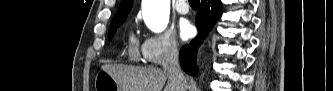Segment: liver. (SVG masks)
<instances>
[{
    "label": "liver",
    "instance_id": "liver-1",
    "mask_svg": "<svg viewBox=\"0 0 333 91\" xmlns=\"http://www.w3.org/2000/svg\"><path fill=\"white\" fill-rule=\"evenodd\" d=\"M102 70L109 73L125 91H180L177 81L169 78V74L156 67H134L105 64ZM184 91L188 89L186 81Z\"/></svg>",
    "mask_w": 333,
    "mask_h": 91
}]
</instances>
